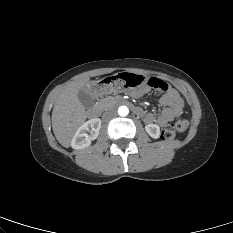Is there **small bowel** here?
<instances>
[{"instance_id": "small-bowel-1", "label": "small bowel", "mask_w": 233, "mask_h": 233, "mask_svg": "<svg viewBox=\"0 0 233 233\" xmlns=\"http://www.w3.org/2000/svg\"><path fill=\"white\" fill-rule=\"evenodd\" d=\"M149 91V87L145 86L132 92L134 97H139L146 94ZM159 98V103L164 106L162 112L155 116L152 113L144 115V121L147 124L156 123L159 126H165L168 122L182 114L183 101L176 90L168 85L167 90ZM142 114V111H141Z\"/></svg>"}]
</instances>
